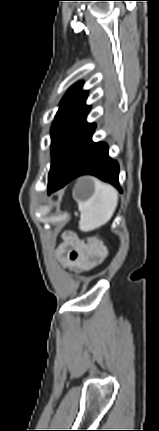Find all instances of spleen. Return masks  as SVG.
Wrapping results in <instances>:
<instances>
[{
    "label": "spleen",
    "mask_w": 159,
    "mask_h": 431,
    "mask_svg": "<svg viewBox=\"0 0 159 431\" xmlns=\"http://www.w3.org/2000/svg\"><path fill=\"white\" fill-rule=\"evenodd\" d=\"M117 204L118 193L115 188L96 180L93 196L87 201L78 202L80 229L91 231L105 225L113 216Z\"/></svg>",
    "instance_id": "spleen-1"
}]
</instances>
